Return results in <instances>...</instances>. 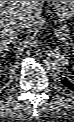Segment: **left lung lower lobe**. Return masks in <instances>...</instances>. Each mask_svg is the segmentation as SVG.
I'll use <instances>...</instances> for the list:
<instances>
[{"instance_id":"1","label":"left lung lower lobe","mask_w":74,"mask_h":122,"mask_svg":"<svg viewBox=\"0 0 74 122\" xmlns=\"http://www.w3.org/2000/svg\"><path fill=\"white\" fill-rule=\"evenodd\" d=\"M61 83H62L65 87H67V88H69V89H71V90H74V83H73V81L68 80L67 78H64V79L61 81Z\"/></svg>"}]
</instances>
